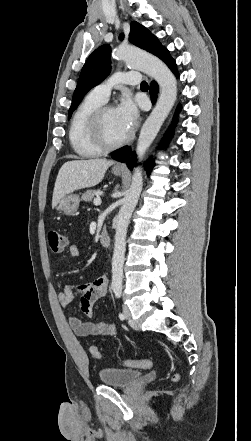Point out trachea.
Here are the masks:
<instances>
[{
	"label": "trachea",
	"instance_id": "trachea-1",
	"mask_svg": "<svg viewBox=\"0 0 251 441\" xmlns=\"http://www.w3.org/2000/svg\"><path fill=\"white\" fill-rule=\"evenodd\" d=\"M141 88H148V83L146 81H142Z\"/></svg>",
	"mask_w": 251,
	"mask_h": 441
}]
</instances>
